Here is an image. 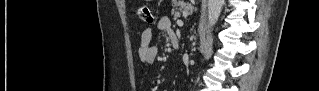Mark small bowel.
I'll return each instance as SVG.
<instances>
[{"label": "small bowel", "mask_w": 319, "mask_h": 91, "mask_svg": "<svg viewBox=\"0 0 319 91\" xmlns=\"http://www.w3.org/2000/svg\"><path fill=\"white\" fill-rule=\"evenodd\" d=\"M156 29L160 32H166L169 38L175 34L171 28V21L168 17L160 18L157 22ZM152 39L153 29H145L141 34L138 53L141 61L147 64L154 63L158 56V47L152 43Z\"/></svg>", "instance_id": "1"}]
</instances>
